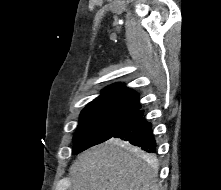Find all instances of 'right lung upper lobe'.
Listing matches in <instances>:
<instances>
[{"instance_id": "obj_1", "label": "right lung upper lobe", "mask_w": 221, "mask_h": 190, "mask_svg": "<svg viewBox=\"0 0 221 190\" xmlns=\"http://www.w3.org/2000/svg\"><path fill=\"white\" fill-rule=\"evenodd\" d=\"M88 105H114L138 111L141 108L139 94L121 83L107 87L100 96Z\"/></svg>"}]
</instances>
